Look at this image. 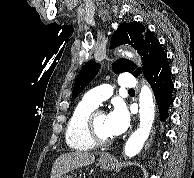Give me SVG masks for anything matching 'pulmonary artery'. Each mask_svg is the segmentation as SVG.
Listing matches in <instances>:
<instances>
[{"instance_id": "1", "label": "pulmonary artery", "mask_w": 194, "mask_h": 178, "mask_svg": "<svg viewBox=\"0 0 194 178\" xmlns=\"http://www.w3.org/2000/svg\"><path fill=\"white\" fill-rule=\"evenodd\" d=\"M118 85L124 89H134L137 85V82L134 76L128 73L122 74L119 77ZM112 92V84H103L87 92L84 96V100L97 107L100 103L108 99L112 95Z\"/></svg>"}]
</instances>
